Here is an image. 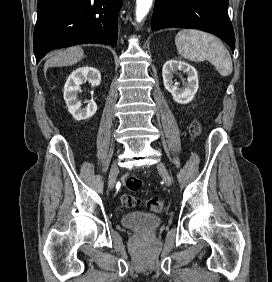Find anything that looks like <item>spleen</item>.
Instances as JSON below:
<instances>
[{
	"instance_id": "1",
	"label": "spleen",
	"mask_w": 272,
	"mask_h": 282,
	"mask_svg": "<svg viewBox=\"0 0 272 282\" xmlns=\"http://www.w3.org/2000/svg\"><path fill=\"white\" fill-rule=\"evenodd\" d=\"M177 51L181 57L194 61H210L222 76L232 73L231 56L222 42L208 33L183 29L175 37Z\"/></svg>"
}]
</instances>
